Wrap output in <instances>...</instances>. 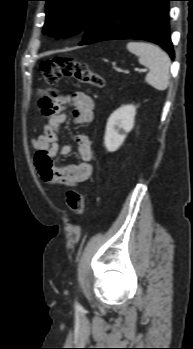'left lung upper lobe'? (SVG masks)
I'll return each mask as SVG.
<instances>
[{"label":"left lung upper lobe","mask_w":193,"mask_h":349,"mask_svg":"<svg viewBox=\"0 0 193 349\" xmlns=\"http://www.w3.org/2000/svg\"><path fill=\"white\" fill-rule=\"evenodd\" d=\"M44 34L70 37L90 25L107 0H44Z\"/></svg>","instance_id":"1"}]
</instances>
